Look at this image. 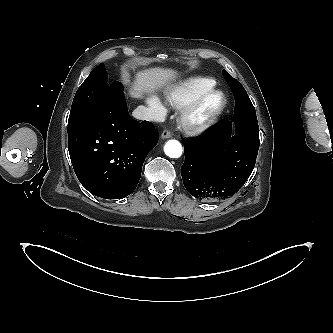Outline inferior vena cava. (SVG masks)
<instances>
[{
	"label": "inferior vena cava",
	"instance_id": "obj_1",
	"mask_svg": "<svg viewBox=\"0 0 333 333\" xmlns=\"http://www.w3.org/2000/svg\"><path fill=\"white\" fill-rule=\"evenodd\" d=\"M133 117L138 120H155V114L147 107L138 106L132 113Z\"/></svg>",
	"mask_w": 333,
	"mask_h": 333
}]
</instances>
